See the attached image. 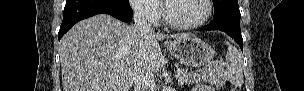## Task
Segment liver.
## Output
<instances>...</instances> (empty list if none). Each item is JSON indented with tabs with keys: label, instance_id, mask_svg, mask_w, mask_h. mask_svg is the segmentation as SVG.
Wrapping results in <instances>:
<instances>
[{
	"label": "liver",
	"instance_id": "obj_1",
	"mask_svg": "<svg viewBox=\"0 0 304 91\" xmlns=\"http://www.w3.org/2000/svg\"><path fill=\"white\" fill-rule=\"evenodd\" d=\"M186 36L191 35L140 37L135 26L107 14L82 20L60 40L63 91H129L138 68L158 72L164 67L160 40Z\"/></svg>",
	"mask_w": 304,
	"mask_h": 91
}]
</instances>
